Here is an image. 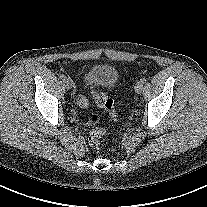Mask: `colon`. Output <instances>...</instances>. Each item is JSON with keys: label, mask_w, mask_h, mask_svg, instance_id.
Segmentation results:
<instances>
[{"label": "colon", "mask_w": 207, "mask_h": 207, "mask_svg": "<svg viewBox=\"0 0 207 207\" xmlns=\"http://www.w3.org/2000/svg\"><path fill=\"white\" fill-rule=\"evenodd\" d=\"M95 100L97 105L105 109L112 119L114 120L117 119V114L114 107V101L111 97H109L105 93H96ZM77 103L81 108H86L88 106V100L85 96H80L78 98ZM100 121H101L100 116L96 114L92 115L89 118V124L95 126V128H93L89 133L88 143L92 148L97 150H100L102 148L101 141L106 134L104 129L96 127L100 123Z\"/></svg>", "instance_id": "obj_1"}]
</instances>
